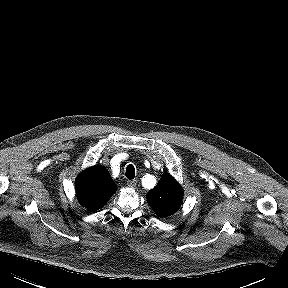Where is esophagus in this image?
I'll use <instances>...</instances> for the list:
<instances>
[{
	"label": "esophagus",
	"instance_id": "esophagus-1",
	"mask_svg": "<svg viewBox=\"0 0 288 288\" xmlns=\"http://www.w3.org/2000/svg\"><path fill=\"white\" fill-rule=\"evenodd\" d=\"M137 185V180H128L127 181V186L131 188H135Z\"/></svg>",
	"mask_w": 288,
	"mask_h": 288
}]
</instances>
